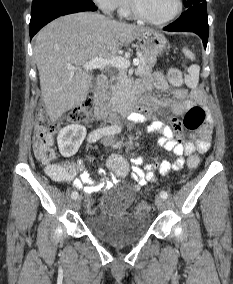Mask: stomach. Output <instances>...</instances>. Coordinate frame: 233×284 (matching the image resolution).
Returning a JSON list of instances; mask_svg holds the SVG:
<instances>
[{
  "mask_svg": "<svg viewBox=\"0 0 233 284\" xmlns=\"http://www.w3.org/2000/svg\"><path fill=\"white\" fill-rule=\"evenodd\" d=\"M138 41L142 52L155 58L166 49L167 45L165 36L154 30L142 33Z\"/></svg>",
  "mask_w": 233,
  "mask_h": 284,
  "instance_id": "obj_1",
  "label": "stomach"
}]
</instances>
